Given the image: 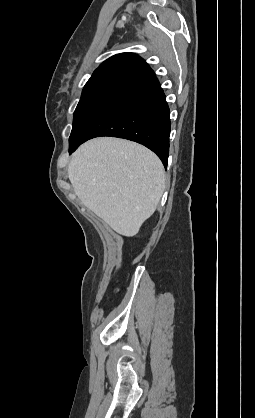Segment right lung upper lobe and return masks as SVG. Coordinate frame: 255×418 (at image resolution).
I'll return each instance as SVG.
<instances>
[{
  "label": "right lung upper lobe",
  "instance_id": "1",
  "mask_svg": "<svg viewBox=\"0 0 255 418\" xmlns=\"http://www.w3.org/2000/svg\"><path fill=\"white\" fill-rule=\"evenodd\" d=\"M151 76L154 72L141 57L134 53H120L104 61L86 85L106 83L128 87Z\"/></svg>",
  "mask_w": 255,
  "mask_h": 418
}]
</instances>
